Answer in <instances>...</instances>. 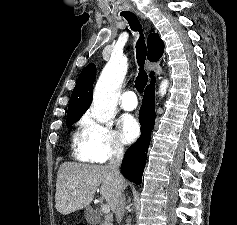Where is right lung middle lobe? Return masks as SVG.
<instances>
[{"label": "right lung middle lobe", "mask_w": 237, "mask_h": 225, "mask_svg": "<svg viewBox=\"0 0 237 225\" xmlns=\"http://www.w3.org/2000/svg\"><path fill=\"white\" fill-rule=\"evenodd\" d=\"M84 113L85 112H74V113H71V114H67L66 124L68 126H71L73 123L78 121Z\"/></svg>", "instance_id": "right-lung-middle-lobe-1"}]
</instances>
